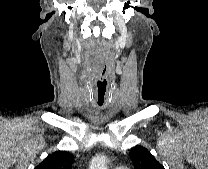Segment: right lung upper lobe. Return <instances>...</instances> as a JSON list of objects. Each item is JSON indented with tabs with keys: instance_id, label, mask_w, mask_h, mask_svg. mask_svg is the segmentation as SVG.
Returning <instances> with one entry per match:
<instances>
[{
	"instance_id": "1",
	"label": "right lung upper lobe",
	"mask_w": 208,
	"mask_h": 169,
	"mask_svg": "<svg viewBox=\"0 0 208 169\" xmlns=\"http://www.w3.org/2000/svg\"><path fill=\"white\" fill-rule=\"evenodd\" d=\"M73 158V155L67 151H56L34 169H71Z\"/></svg>"
}]
</instances>
